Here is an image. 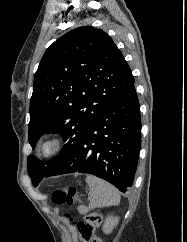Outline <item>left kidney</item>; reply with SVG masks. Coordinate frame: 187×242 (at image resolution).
Segmentation results:
<instances>
[{
	"instance_id": "obj_1",
	"label": "left kidney",
	"mask_w": 187,
	"mask_h": 242,
	"mask_svg": "<svg viewBox=\"0 0 187 242\" xmlns=\"http://www.w3.org/2000/svg\"><path fill=\"white\" fill-rule=\"evenodd\" d=\"M119 218L118 217H113L108 216V218H106L104 225H103V231L106 234H109L112 232L113 228L118 224Z\"/></svg>"
}]
</instances>
